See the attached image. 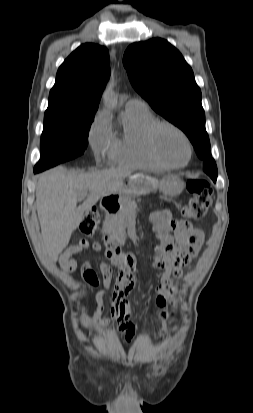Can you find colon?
<instances>
[{
  "mask_svg": "<svg viewBox=\"0 0 253 413\" xmlns=\"http://www.w3.org/2000/svg\"><path fill=\"white\" fill-rule=\"evenodd\" d=\"M187 189L191 194L188 203L182 209V215L186 219L198 220L203 218L211 204L212 189L205 179H191L187 183ZM99 223V213L91 209L83 216L79 230L87 236L93 235Z\"/></svg>",
  "mask_w": 253,
  "mask_h": 413,
  "instance_id": "colon-1",
  "label": "colon"
}]
</instances>
